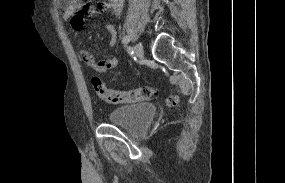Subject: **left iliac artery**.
<instances>
[{
  "label": "left iliac artery",
  "mask_w": 285,
  "mask_h": 183,
  "mask_svg": "<svg viewBox=\"0 0 285 183\" xmlns=\"http://www.w3.org/2000/svg\"><path fill=\"white\" fill-rule=\"evenodd\" d=\"M130 40H131L130 36L127 35V36H125V37L122 39V43H123V44H127ZM132 53H133V52H132Z\"/></svg>",
  "instance_id": "1"
}]
</instances>
